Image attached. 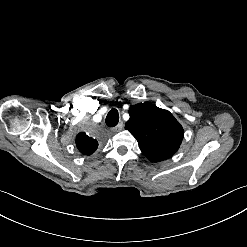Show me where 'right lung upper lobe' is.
<instances>
[{
	"instance_id": "1",
	"label": "right lung upper lobe",
	"mask_w": 247,
	"mask_h": 247,
	"mask_svg": "<svg viewBox=\"0 0 247 247\" xmlns=\"http://www.w3.org/2000/svg\"><path fill=\"white\" fill-rule=\"evenodd\" d=\"M76 144L79 151L84 155H91L98 147L97 140L84 132L77 135Z\"/></svg>"
}]
</instances>
